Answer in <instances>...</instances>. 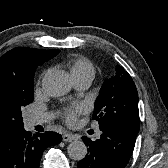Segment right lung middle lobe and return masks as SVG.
<instances>
[{
	"mask_svg": "<svg viewBox=\"0 0 168 168\" xmlns=\"http://www.w3.org/2000/svg\"><path fill=\"white\" fill-rule=\"evenodd\" d=\"M33 101V79L18 83L10 98L0 101V127L9 131L24 127L22 109Z\"/></svg>",
	"mask_w": 168,
	"mask_h": 168,
	"instance_id": "1",
	"label": "right lung middle lobe"
}]
</instances>
